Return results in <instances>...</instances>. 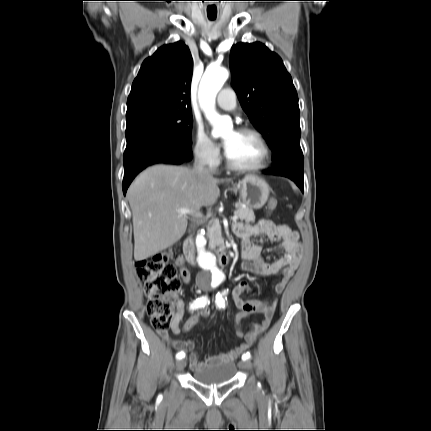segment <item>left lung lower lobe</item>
Returning <instances> with one entry per match:
<instances>
[{
    "instance_id": "0a47b994",
    "label": "left lung lower lobe",
    "mask_w": 431,
    "mask_h": 431,
    "mask_svg": "<svg viewBox=\"0 0 431 431\" xmlns=\"http://www.w3.org/2000/svg\"><path fill=\"white\" fill-rule=\"evenodd\" d=\"M304 159L286 157L277 161L272 169L265 170V174L285 176L293 180L304 192Z\"/></svg>"
}]
</instances>
